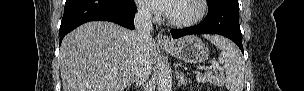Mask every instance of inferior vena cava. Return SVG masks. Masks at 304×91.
Masks as SVG:
<instances>
[{
  "mask_svg": "<svg viewBox=\"0 0 304 91\" xmlns=\"http://www.w3.org/2000/svg\"><path fill=\"white\" fill-rule=\"evenodd\" d=\"M135 30L132 32L136 43L137 60L134 68L135 79L144 81L151 73V63L148 58L149 45L152 38L153 25L150 11L138 7L134 18Z\"/></svg>",
  "mask_w": 304,
  "mask_h": 91,
  "instance_id": "obj_1",
  "label": "inferior vena cava"
}]
</instances>
